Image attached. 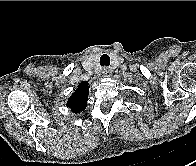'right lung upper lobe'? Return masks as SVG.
Here are the masks:
<instances>
[{
  "label": "right lung upper lobe",
  "mask_w": 196,
  "mask_h": 166,
  "mask_svg": "<svg viewBox=\"0 0 196 166\" xmlns=\"http://www.w3.org/2000/svg\"><path fill=\"white\" fill-rule=\"evenodd\" d=\"M89 92V84L84 81L74 91L73 95L68 99L67 106L71 108L74 113L83 111L87 106Z\"/></svg>",
  "instance_id": "right-lung-upper-lobe-1"
}]
</instances>
